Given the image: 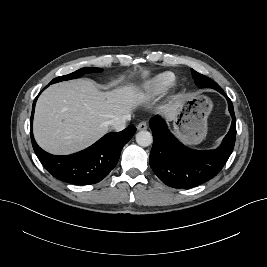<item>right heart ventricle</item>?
<instances>
[{"instance_id": "1", "label": "right heart ventricle", "mask_w": 267, "mask_h": 267, "mask_svg": "<svg viewBox=\"0 0 267 267\" xmlns=\"http://www.w3.org/2000/svg\"><path fill=\"white\" fill-rule=\"evenodd\" d=\"M175 81V76L171 72L160 73L145 81L142 91L148 95H158L166 91Z\"/></svg>"}]
</instances>
